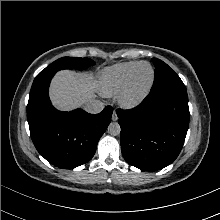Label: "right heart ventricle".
<instances>
[{
    "label": "right heart ventricle",
    "instance_id": "right-heart-ventricle-1",
    "mask_svg": "<svg viewBox=\"0 0 220 220\" xmlns=\"http://www.w3.org/2000/svg\"><path fill=\"white\" fill-rule=\"evenodd\" d=\"M139 62H124L104 69L98 77V89L104 96H114L121 92L129 74Z\"/></svg>",
    "mask_w": 220,
    "mask_h": 220
}]
</instances>
